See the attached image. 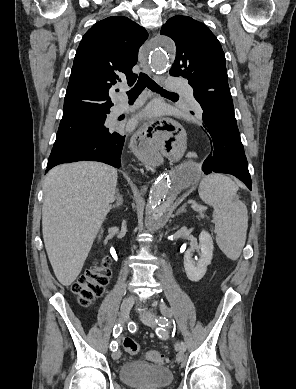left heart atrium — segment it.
I'll return each mask as SVG.
<instances>
[{
  "instance_id": "obj_1",
  "label": "left heart atrium",
  "mask_w": 296,
  "mask_h": 389,
  "mask_svg": "<svg viewBox=\"0 0 296 389\" xmlns=\"http://www.w3.org/2000/svg\"><path fill=\"white\" fill-rule=\"evenodd\" d=\"M157 114V109L155 107H149L143 113L144 117H152Z\"/></svg>"
}]
</instances>
